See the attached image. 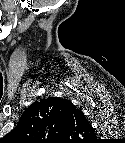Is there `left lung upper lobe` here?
I'll list each match as a JSON object with an SVG mask.
<instances>
[{
  "label": "left lung upper lobe",
  "mask_w": 125,
  "mask_h": 143,
  "mask_svg": "<svg viewBox=\"0 0 125 143\" xmlns=\"http://www.w3.org/2000/svg\"><path fill=\"white\" fill-rule=\"evenodd\" d=\"M70 101L58 97H48L30 105L17 126L4 138L38 143L41 139L71 136L77 127H90L85 117L66 123V106Z\"/></svg>",
  "instance_id": "obj_1"
}]
</instances>
